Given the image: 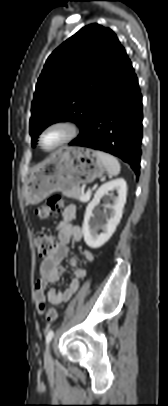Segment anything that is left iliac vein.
Here are the masks:
<instances>
[{
  "label": "left iliac vein",
  "mask_w": 168,
  "mask_h": 406,
  "mask_svg": "<svg viewBox=\"0 0 168 406\" xmlns=\"http://www.w3.org/2000/svg\"><path fill=\"white\" fill-rule=\"evenodd\" d=\"M45 363L50 365L53 362L50 345L47 346L44 356Z\"/></svg>",
  "instance_id": "left-iliac-vein-1"
}]
</instances>
